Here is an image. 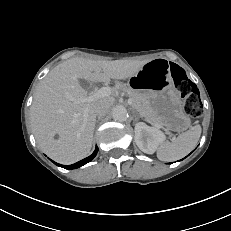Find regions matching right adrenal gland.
<instances>
[{"instance_id":"right-adrenal-gland-1","label":"right adrenal gland","mask_w":231,"mask_h":231,"mask_svg":"<svg viewBox=\"0 0 231 231\" xmlns=\"http://www.w3.org/2000/svg\"><path fill=\"white\" fill-rule=\"evenodd\" d=\"M99 120H100V118L97 119L96 123H98Z\"/></svg>"}]
</instances>
